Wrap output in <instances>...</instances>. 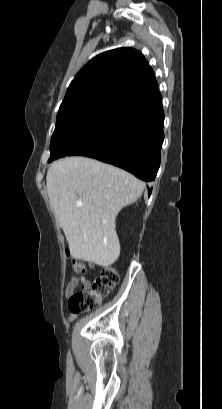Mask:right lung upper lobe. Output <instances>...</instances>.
Segmentation results:
<instances>
[{"mask_svg":"<svg viewBox=\"0 0 222 409\" xmlns=\"http://www.w3.org/2000/svg\"><path fill=\"white\" fill-rule=\"evenodd\" d=\"M152 69L132 48L104 52L89 61L71 82L59 108L117 103L127 106L159 96Z\"/></svg>","mask_w":222,"mask_h":409,"instance_id":"obj_1","label":"right lung upper lobe"}]
</instances>
